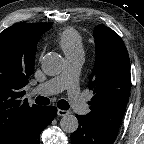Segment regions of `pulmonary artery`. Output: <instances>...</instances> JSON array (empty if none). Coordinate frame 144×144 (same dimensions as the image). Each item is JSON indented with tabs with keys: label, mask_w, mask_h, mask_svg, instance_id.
<instances>
[{
	"label": "pulmonary artery",
	"mask_w": 144,
	"mask_h": 144,
	"mask_svg": "<svg viewBox=\"0 0 144 144\" xmlns=\"http://www.w3.org/2000/svg\"><path fill=\"white\" fill-rule=\"evenodd\" d=\"M83 62V54H76L66 57V64L62 73L38 85L34 93L41 95H52L67 90L69 99L78 114H85L88 106L85 103L79 87L78 75Z\"/></svg>",
	"instance_id": "1"
}]
</instances>
